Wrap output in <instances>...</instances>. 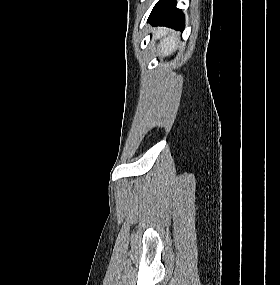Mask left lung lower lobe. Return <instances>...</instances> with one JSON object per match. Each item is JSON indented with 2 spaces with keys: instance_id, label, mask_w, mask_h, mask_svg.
Returning <instances> with one entry per match:
<instances>
[{
  "instance_id": "1",
  "label": "left lung lower lobe",
  "mask_w": 280,
  "mask_h": 285,
  "mask_svg": "<svg viewBox=\"0 0 280 285\" xmlns=\"http://www.w3.org/2000/svg\"><path fill=\"white\" fill-rule=\"evenodd\" d=\"M148 22L183 31L185 19L182 11L176 8V0H159L152 9Z\"/></svg>"
}]
</instances>
